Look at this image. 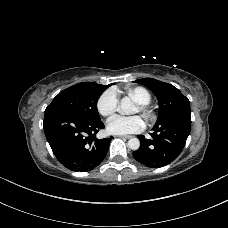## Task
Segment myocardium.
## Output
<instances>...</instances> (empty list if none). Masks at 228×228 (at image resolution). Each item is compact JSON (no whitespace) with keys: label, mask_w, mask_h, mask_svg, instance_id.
I'll return each mask as SVG.
<instances>
[{"label":"myocardium","mask_w":228,"mask_h":228,"mask_svg":"<svg viewBox=\"0 0 228 228\" xmlns=\"http://www.w3.org/2000/svg\"><path fill=\"white\" fill-rule=\"evenodd\" d=\"M139 109L141 116L147 121L152 122L155 119V113L153 109L147 104L137 103L136 105Z\"/></svg>","instance_id":"f54148a6"}]
</instances>
